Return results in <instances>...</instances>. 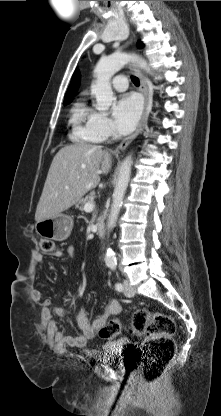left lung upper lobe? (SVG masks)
Masks as SVG:
<instances>
[{
    "instance_id": "5c2ea615",
    "label": "left lung upper lobe",
    "mask_w": 221,
    "mask_h": 416,
    "mask_svg": "<svg viewBox=\"0 0 221 416\" xmlns=\"http://www.w3.org/2000/svg\"><path fill=\"white\" fill-rule=\"evenodd\" d=\"M143 44L141 42H138V47H142Z\"/></svg>"
}]
</instances>
